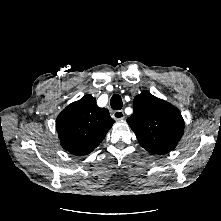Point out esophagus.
I'll use <instances>...</instances> for the list:
<instances>
[{
    "instance_id": "obj_1",
    "label": "esophagus",
    "mask_w": 221,
    "mask_h": 221,
    "mask_svg": "<svg viewBox=\"0 0 221 221\" xmlns=\"http://www.w3.org/2000/svg\"><path fill=\"white\" fill-rule=\"evenodd\" d=\"M112 117L114 118V120H123L125 118V114L124 111L122 110H116L113 112Z\"/></svg>"
}]
</instances>
